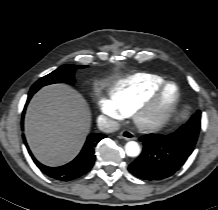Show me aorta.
<instances>
[{
	"label": "aorta",
	"mask_w": 218,
	"mask_h": 210,
	"mask_svg": "<svg viewBox=\"0 0 218 210\" xmlns=\"http://www.w3.org/2000/svg\"><path fill=\"white\" fill-rule=\"evenodd\" d=\"M125 152L130 157H136L140 154V146L135 141H129L125 145Z\"/></svg>",
	"instance_id": "obj_1"
}]
</instances>
